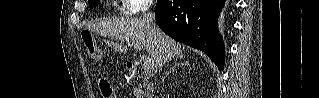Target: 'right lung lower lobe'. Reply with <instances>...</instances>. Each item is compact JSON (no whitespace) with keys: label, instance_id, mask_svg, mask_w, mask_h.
Masks as SVG:
<instances>
[{"label":"right lung lower lobe","instance_id":"98d812e1","mask_svg":"<svg viewBox=\"0 0 319 98\" xmlns=\"http://www.w3.org/2000/svg\"><path fill=\"white\" fill-rule=\"evenodd\" d=\"M225 0H158L155 17L170 37L205 52L219 70L224 69L225 48L216 20Z\"/></svg>","mask_w":319,"mask_h":98}]
</instances>
